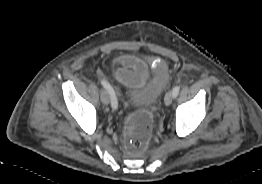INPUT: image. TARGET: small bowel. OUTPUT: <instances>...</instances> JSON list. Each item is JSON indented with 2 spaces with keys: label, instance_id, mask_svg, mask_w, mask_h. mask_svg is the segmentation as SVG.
<instances>
[{
  "label": "small bowel",
  "instance_id": "c3829d8e",
  "mask_svg": "<svg viewBox=\"0 0 262 184\" xmlns=\"http://www.w3.org/2000/svg\"><path fill=\"white\" fill-rule=\"evenodd\" d=\"M116 62L119 67L113 71V76L123 85L138 87L148 76L146 65L132 55H121Z\"/></svg>",
  "mask_w": 262,
  "mask_h": 184
}]
</instances>
